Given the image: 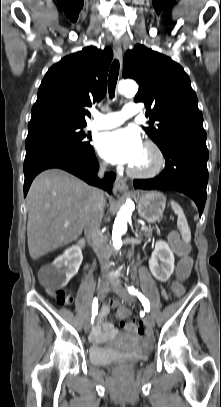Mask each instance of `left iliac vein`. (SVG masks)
Returning <instances> with one entry per match:
<instances>
[{
    "label": "left iliac vein",
    "mask_w": 221,
    "mask_h": 407,
    "mask_svg": "<svg viewBox=\"0 0 221 407\" xmlns=\"http://www.w3.org/2000/svg\"><path fill=\"white\" fill-rule=\"evenodd\" d=\"M112 290L126 303L133 304L135 302L134 298L124 289L119 283L112 284ZM146 323L148 327L153 328L155 325L154 318L151 314L147 313Z\"/></svg>",
    "instance_id": "obj_1"
}]
</instances>
